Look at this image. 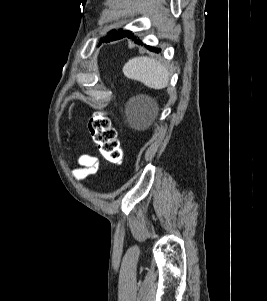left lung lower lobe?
Segmentation results:
<instances>
[{"mask_svg": "<svg viewBox=\"0 0 267 301\" xmlns=\"http://www.w3.org/2000/svg\"><path fill=\"white\" fill-rule=\"evenodd\" d=\"M123 37H128V38H131L133 40H136V42H139L137 37L134 36L130 31L126 32V33H123V34H115V35H111L110 37L106 38L104 41L100 42V43H103V42H110V41H114V40H118V39H121ZM100 45V44H99ZM151 51H154L156 53H158L160 51V49H155V48H152V47H149L147 46Z\"/></svg>", "mask_w": 267, "mask_h": 301, "instance_id": "1", "label": "left lung lower lobe"}]
</instances>
